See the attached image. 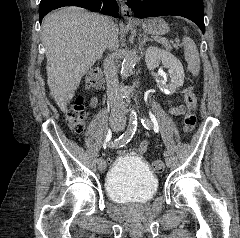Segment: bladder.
<instances>
[{"instance_id":"bladder-1","label":"bladder","mask_w":240,"mask_h":238,"mask_svg":"<svg viewBox=\"0 0 240 238\" xmlns=\"http://www.w3.org/2000/svg\"><path fill=\"white\" fill-rule=\"evenodd\" d=\"M105 188L113 202L144 204L155 197L158 178L143 158L124 153L109 170Z\"/></svg>"}]
</instances>
